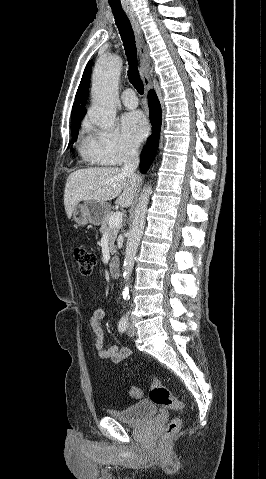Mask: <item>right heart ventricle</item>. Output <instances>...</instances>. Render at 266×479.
<instances>
[{"instance_id": "e07e8e85", "label": "right heart ventricle", "mask_w": 266, "mask_h": 479, "mask_svg": "<svg viewBox=\"0 0 266 479\" xmlns=\"http://www.w3.org/2000/svg\"><path fill=\"white\" fill-rule=\"evenodd\" d=\"M79 150L82 155V157L89 162H94V163H100L95 158L93 157L92 154V149H91V140L88 137H82L80 144H79ZM102 164V163H101Z\"/></svg>"}]
</instances>
